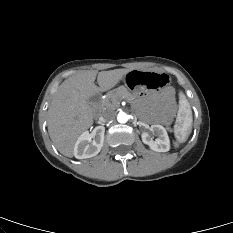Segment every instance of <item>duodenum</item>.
Instances as JSON below:
<instances>
[{"mask_svg": "<svg viewBox=\"0 0 233 233\" xmlns=\"http://www.w3.org/2000/svg\"><path fill=\"white\" fill-rule=\"evenodd\" d=\"M100 99H101V94L99 92L94 93L91 97V102L94 106V110L96 113H98L100 109Z\"/></svg>", "mask_w": 233, "mask_h": 233, "instance_id": "1", "label": "duodenum"}]
</instances>
